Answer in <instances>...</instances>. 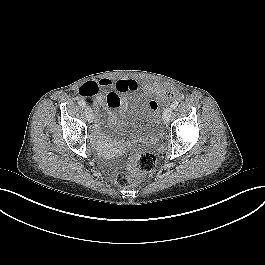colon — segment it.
I'll use <instances>...</instances> for the list:
<instances>
[{"mask_svg": "<svg viewBox=\"0 0 265 265\" xmlns=\"http://www.w3.org/2000/svg\"><path fill=\"white\" fill-rule=\"evenodd\" d=\"M172 90L167 89V94H171ZM110 98L119 102L118 98L111 94ZM157 163V155L151 150H142L136 153L130 161L127 169L117 176V184L121 187H132L139 183L140 178L152 172Z\"/></svg>", "mask_w": 265, "mask_h": 265, "instance_id": "colon-1", "label": "colon"}]
</instances>
